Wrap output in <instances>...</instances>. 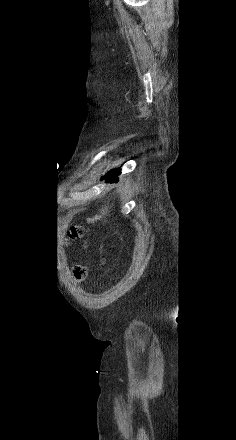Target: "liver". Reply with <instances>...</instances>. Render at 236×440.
<instances>
[{
	"instance_id": "liver-1",
	"label": "liver",
	"mask_w": 236,
	"mask_h": 440,
	"mask_svg": "<svg viewBox=\"0 0 236 440\" xmlns=\"http://www.w3.org/2000/svg\"><path fill=\"white\" fill-rule=\"evenodd\" d=\"M102 215H107L108 213V208L107 206H105L102 210H101ZM102 215H95L93 218H88L87 222L88 223H94L97 220H100L102 218Z\"/></svg>"
}]
</instances>
